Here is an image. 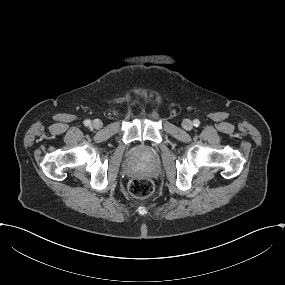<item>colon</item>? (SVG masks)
I'll return each instance as SVG.
<instances>
[{
  "mask_svg": "<svg viewBox=\"0 0 285 285\" xmlns=\"http://www.w3.org/2000/svg\"><path fill=\"white\" fill-rule=\"evenodd\" d=\"M129 191L136 198H147L154 191V183L148 178H134L129 183Z\"/></svg>",
  "mask_w": 285,
  "mask_h": 285,
  "instance_id": "5ec220e1",
  "label": "colon"
}]
</instances>
